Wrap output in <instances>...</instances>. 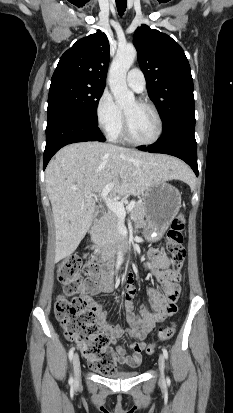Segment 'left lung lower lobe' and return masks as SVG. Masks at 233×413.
I'll use <instances>...</instances> for the list:
<instances>
[{"instance_id":"left-lung-lower-lobe-1","label":"left lung lower lobe","mask_w":233,"mask_h":413,"mask_svg":"<svg viewBox=\"0 0 233 413\" xmlns=\"http://www.w3.org/2000/svg\"><path fill=\"white\" fill-rule=\"evenodd\" d=\"M195 123L177 121L163 130L161 138L148 147L140 150L152 153H164L185 161L198 176L197 144L194 136Z\"/></svg>"}]
</instances>
